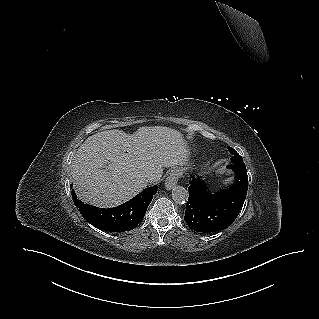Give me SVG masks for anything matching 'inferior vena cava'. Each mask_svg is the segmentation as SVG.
<instances>
[{
    "label": "inferior vena cava",
    "instance_id": "inferior-vena-cava-1",
    "mask_svg": "<svg viewBox=\"0 0 319 319\" xmlns=\"http://www.w3.org/2000/svg\"><path fill=\"white\" fill-rule=\"evenodd\" d=\"M155 175H148L147 177H146V180L148 181V182H154L155 181Z\"/></svg>",
    "mask_w": 319,
    "mask_h": 319
}]
</instances>
